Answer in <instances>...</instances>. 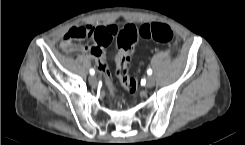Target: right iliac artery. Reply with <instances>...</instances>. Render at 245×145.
Wrapping results in <instances>:
<instances>
[{
  "mask_svg": "<svg viewBox=\"0 0 245 145\" xmlns=\"http://www.w3.org/2000/svg\"><path fill=\"white\" fill-rule=\"evenodd\" d=\"M90 74H91V75H94V74H95L94 69H90Z\"/></svg>",
  "mask_w": 245,
  "mask_h": 145,
  "instance_id": "82829eb1",
  "label": "right iliac artery"
}]
</instances>
